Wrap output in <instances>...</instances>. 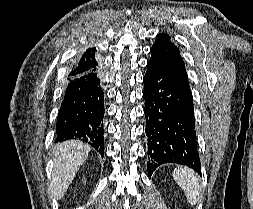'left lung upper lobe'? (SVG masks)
I'll return each mask as SVG.
<instances>
[{
    "mask_svg": "<svg viewBox=\"0 0 253 209\" xmlns=\"http://www.w3.org/2000/svg\"><path fill=\"white\" fill-rule=\"evenodd\" d=\"M150 60L159 62L170 68L179 77L192 98L184 61L179 49L170 41L168 34L160 33L156 36V40L151 48Z\"/></svg>",
    "mask_w": 253,
    "mask_h": 209,
    "instance_id": "1",
    "label": "left lung upper lobe"
}]
</instances>
